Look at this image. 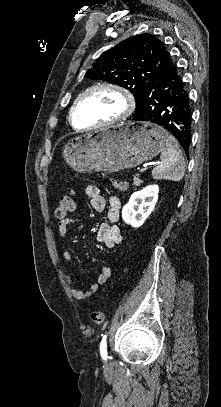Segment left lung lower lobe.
<instances>
[{
  "label": "left lung lower lobe",
  "instance_id": "obj_1",
  "mask_svg": "<svg viewBox=\"0 0 221 407\" xmlns=\"http://www.w3.org/2000/svg\"><path fill=\"white\" fill-rule=\"evenodd\" d=\"M191 107L182 75L174 61L143 89L133 120L148 121L168 130L188 155Z\"/></svg>",
  "mask_w": 221,
  "mask_h": 407
}]
</instances>
